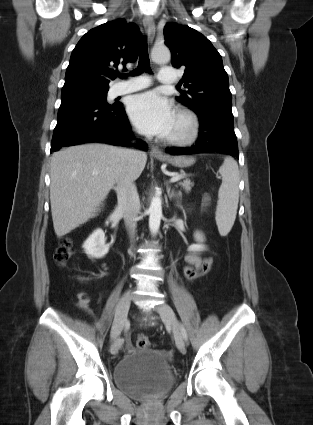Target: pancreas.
Segmentation results:
<instances>
[{
    "instance_id": "cf45deb5",
    "label": "pancreas",
    "mask_w": 313,
    "mask_h": 425,
    "mask_svg": "<svg viewBox=\"0 0 313 425\" xmlns=\"http://www.w3.org/2000/svg\"><path fill=\"white\" fill-rule=\"evenodd\" d=\"M179 185L186 191L190 192L191 188L194 186V183L191 182L189 179H186L182 182H179ZM181 195V192L179 193Z\"/></svg>"
}]
</instances>
